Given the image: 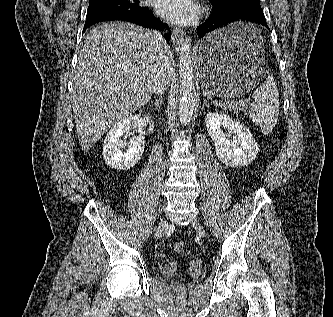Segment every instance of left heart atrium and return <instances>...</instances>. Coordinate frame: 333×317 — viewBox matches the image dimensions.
<instances>
[{
	"mask_svg": "<svg viewBox=\"0 0 333 317\" xmlns=\"http://www.w3.org/2000/svg\"><path fill=\"white\" fill-rule=\"evenodd\" d=\"M157 13L174 23H187L196 15L193 0H158Z\"/></svg>",
	"mask_w": 333,
	"mask_h": 317,
	"instance_id": "left-heart-atrium-1",
	"label": "left heart atrium"
}]
</instances>
